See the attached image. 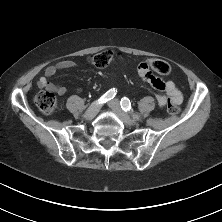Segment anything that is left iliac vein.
Masks as SVG:
<instances>
[{"mask_svg": "<svg viewBox=\"0 0 222 222\" xmlns=\"http://www.w3.org/2000/svg\"><path fill=\"white\" fill-rule=\"evenodd\" d=\"M109 107L114 111L118 118L126 125H135V120H133L128 114H126L120 107L117 100H112L108 103Z\"/></svg>", "mask_w": 222, "mask_h": 222, "instance_id": "4c4485c4", "label": "left iliac vein"}]
</instances>
